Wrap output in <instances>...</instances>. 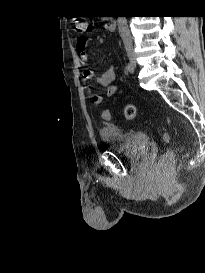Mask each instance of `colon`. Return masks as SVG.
<instances>
[{
  "instance_id": "5ec220e1",
  "label": "colon",
  "mask_w": 205,
  "mask_h": 273,
  "mask_svg": "<svg viewBox=\"0 0 205 273\" xmlns=\"http://www.w3.org/2000/svg\"><path fill=\"white\" fill-rule=\"evenodd\" d=\"M74 29L78 33H82L85 31H90L92 29V24L84 19V18H75L74 21ZM136 107L133 104H126L124 107V116L128 120H134L136 118ZM103 118L106 120L111 119V113L109 110L103 111ZM164 139L169 141L170 136L168 133H164ZM175 161V155L172 151H168L165 155L163 160L159 165V171L163 174H166L171 171L172 166Z\"/></svg>"
}]
</instances>
